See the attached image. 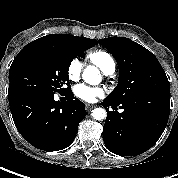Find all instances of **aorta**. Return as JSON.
I'll return each mask as SVG.
<instances>
[{
	"label": "aorta",
	"mask_w": 178,
	"mask_h": 178,
	"mask_svg": "<svg viewBox=\"0 0 178 178\" xmlns=\"http://www.w3.org/2000/svg\"><path fill=\"white\" fill-rule=\"evenodd\" d=\"M83 79L89 84H97L101 80L99 70L95 66H88L83 72ZM92 117L96 120H103L106 118V111L103 108H95L91 113Z\"/></svg>",
	"instance_id": "aorta-1"
}]
</instances>
